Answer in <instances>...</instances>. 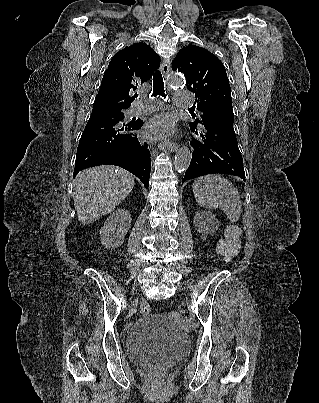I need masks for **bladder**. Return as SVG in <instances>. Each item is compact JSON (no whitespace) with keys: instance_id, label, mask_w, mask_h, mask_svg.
Masks as SVG:
<instances>
[{"instance_id":"31cf9c89","label":"bladder","mask_w":319,"mask_h":403,"mask_svg":"<svg viewBox=\"0 0 319 403\" xmlns=\"http://www.w3.org/2000/svg\"><path fill=\"white\" fill-rule=\"evenodd\" d=\"M189 341L172 320L160 314L139 318L127 332V354L130 361L158 366L181 359Z\"/></svg>"}]
</instances>
